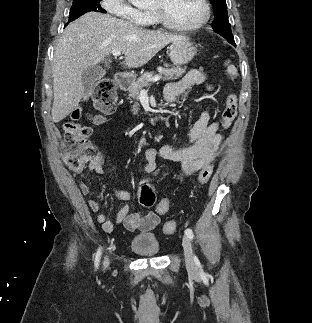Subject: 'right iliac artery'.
Instances as JSON below:
<instances>
[{"mask_svg": "<svg viewBox=\"0 0 312 323\" xmlns=\"http://www.w3.org/2000/svg\"><path fill=\"white\" fill-rule=\"evenodd\" d=\"M100 254H101V249L99 248L97 253H96V258H95V262H94L95 267H98V265H99Z\"/></svg>", "mask_w": 312, "mask_h": 323, "instance_id": "82829eb1", "label": "right iliac artery"}]
</instances>
